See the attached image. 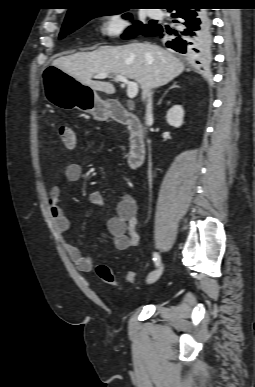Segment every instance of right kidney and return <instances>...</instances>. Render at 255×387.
I'll list each match as a JSON object with an SVG mask.
<instances>
[{"mask_svg": "<svg viewBox=\"0 0 255 387\" xmlns=\"http://www.w3.org/2000/svg\"><path fill=\"white\" fill-rule=\"evenodd\" d=\"M184 110L181 105H174L166 114L167 123L176 128L183 124Z\"/></svg>", "mask_w": 255, "mask_h": 387, "instance_id": "obj_1", "label": "right kidney"}]
</instances>
